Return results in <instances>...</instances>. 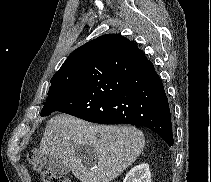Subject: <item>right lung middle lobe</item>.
<instances>
[{"label": "right lung middle lobe", "mask_w": 211, "mask_h": 182, "mask_svg": "<svg viewBox=\"0 0 211 182\" xmlns=\"http://www.w3.org/2000/svg\"><path fill=\"white\" fill-rule=\"evenodd\" d=\"M87 65L82 63L57 71L51 79L46 102L43 103L41 116L54 112L55 102L71 95L80 83Z\"/></svg>", "instance_id": "dd1d6c3e"}]
</instances>
